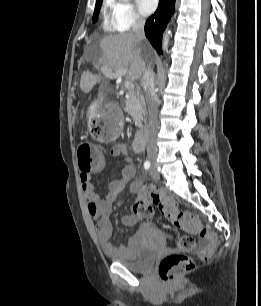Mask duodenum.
Returning <instances> with one entry per match:
<instances>
[{
    "label": "duodenum",
    "instance_id": "410a0bca",
    "mask_svg": "<svg viewBox=\"0 0 261 306\" xmlns=\"http://www.w3.org/2000/svg\"><path fill=\"white\" fill-rule=\"evenodd\" d=\"M148 129L147 127L141 128L135 135L132 143L133 150L135 152H141L146 145Z\"/></svg>",
    "mask_w": 261,
    "mask_h": 306
}]
</instances>
